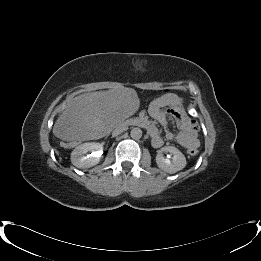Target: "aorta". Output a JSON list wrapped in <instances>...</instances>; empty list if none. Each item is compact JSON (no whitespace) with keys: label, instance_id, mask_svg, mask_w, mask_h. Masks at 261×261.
Segmentation results:
<instances>
[{"label":"aorta","instance_id":"aorta-1","mask_svg":"<svg viewBox=\"0 0 261 261\" xmlns=\"http://www.w3.org/2000/svg\"><path fill=\"white\" fill-rule=\"evenodd\" d=\"M130 136L132 139L138 140L142 137V130L138 127L133 128L130 132Z\"/></svg>","mask_w":261,"mask_h":261}]
</instances>
